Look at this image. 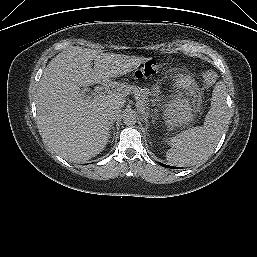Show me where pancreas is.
Here are the masks:
<instances>
[{
  "label": "pancreas",
  "mask_w": 257,
  "mask_h": 257,
  "mask_svg": "<svg viewBox=\"0 0 257 257\" xmlns=\"http://www.w3.org/2000/svg\"><path fill=\"white\" fill-rule=\"evenodd\" d=\"M127 90L131 91L137 100V107L139 110L143 111L148 108L149 105V94L150 90L147 88H140L136 86L127 87Z\"/></svg>",
  "instance_id": "pancreas-1"
}]
</instances>
